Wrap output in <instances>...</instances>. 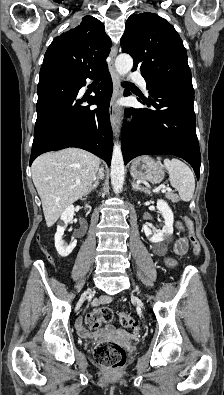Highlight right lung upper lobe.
Instances as JSON below:
<instances>
[{"label": "right lung upper lobe", "instance_id": "right-lung-upper-lobe-1", "mask_svg": "<svg viewBox=\"0 0 224 395\" xmlns=\"http://www.w3.org/2000/svg\"><path fill=\"white\" fill-rule=\"evenodd\" d=\"M111 40L104 25L95 17L85 16L77 27L55 37L43 64L58 65L78 74H93L107 67Z\"/></svg>", "mask_w": 224, "mask_h": 395}]
</instances>
